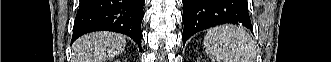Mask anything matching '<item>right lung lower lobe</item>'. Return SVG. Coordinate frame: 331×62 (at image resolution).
<instances>
[{
  "label": "right lung lower lobe",
  "instance_id": "obj_1",
  "mask_svg": "<svg viewBox=\"0 0 331 62\" xmlns=\"http://www.w3.org/2000/svg\"><path fill=\"white\" fill-rule=\"evenodd\" d=\"M145 0H80L72 43L83 34L107 30L131 37L141 49Z\"/></svg>",
  "mask_w": 331,
  "mask_h": 62
}]
</instances>
